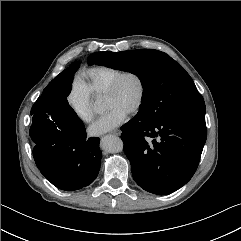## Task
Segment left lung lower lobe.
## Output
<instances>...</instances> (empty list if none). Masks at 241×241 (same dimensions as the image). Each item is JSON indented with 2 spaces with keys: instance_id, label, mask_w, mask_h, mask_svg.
Returning <instances> with one entry per match:
<instances>
[{
  "instance_id": "0a47b994",
  "label": "left lung lower lobe",
  "mask_w": 241,
  "mask_h": 241,
  "mask_svg": "<svg viewBox=\"0 0 241 241\" xmlns=\"http://www.w3.org/2000/svg\"><path fill=\"white\" fill-rule=\"evenodd\" d=\"M121 130L135 182L157 195L170 194L191 179L207 138L205 113L185 111L157 121L136 115Z\"/></svg>"
}]
</instances>
